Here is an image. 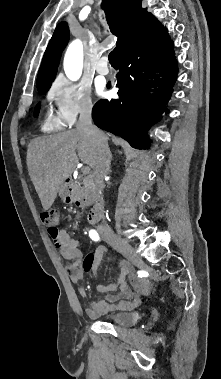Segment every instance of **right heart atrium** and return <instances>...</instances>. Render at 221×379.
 Segmentation results:
<instances>
[{"instance_id":"1","label":"right heart atrium","mask_w":221,"mask_h":379,"mask_svg":"<svg viewBox=\"0 0 221 379\" xmlns=\"http://www.w3.org/2000/svg\"><path fill=\"white\" fill-rule=\"evenodd\" d=\"M57 117L66 126H72L78 117L90 115L94 109L91 93L86 85L66 79L56 80L48 90Z\"/></svg>"}]
</instances>
